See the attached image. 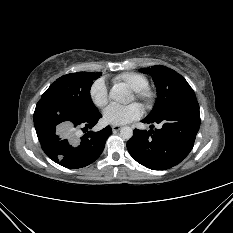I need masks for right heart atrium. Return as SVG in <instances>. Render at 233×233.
Segmentation results:
<instances>
[{"mask_svg":"<svg viewBox=\"0 0 233 233\" xmlns=\"http://www.w3.org/2000/svg\"><path fill=\"white\" fill-rule=\"evenodd\" d=\"M89 96L97 108H103L108 102V91L102 80L95 81L90 87Z\"/></svg>","mask_w":233,"mask_h":233,"instance_id":"d8ad5b80","label":"right heart atrium"}]
</instances>
